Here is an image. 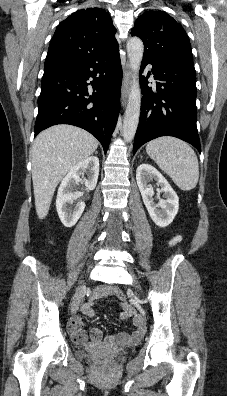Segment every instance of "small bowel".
<instances>
[{
  "instance_id": "small-bowel-1",
  "label": "small bowel",
  "mask_w": 227,
  "mask_h": 396,
  "mask_svg": "<svg viewBox=\"0 0 227 396\" xmlns=\"http://www.w3.org/2000/svg\"><path fill=\"white\" fill-rule=\"evenodd\" d=\"M180 241H181V236L176 235L169 241L168 247L169 248L174 247ZM120 293H121L120 290L115 286L105 285L96 288L92 296L90 297L89 301L83 304V306L81 307V313L87 317L93 316L94 312L92 309V305L96 300L104 296L118 297ZM120 300H121L120 303L121 312L119 314L120 319L121 320L132 319L134 329L130 334L125 332L114 333L108 336L104 340L102 331L100 329L92 328L90 332L87 333L83 329L82 318L80 316H74L69 321V331L72 335L73 340L80 344H89L93 346L101 345L104 341L111 345L129 344L139 341L144 334V330L141 326V321L135 315L131 305L126 303L124 299H120Z\"/></svg>"
}]
</instances>
